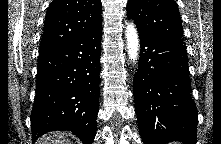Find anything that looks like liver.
Instances as JSON below:
<instances>
[{
  "label": "liver",
  "instance_id": "1",
  "mask_svg": "<svg viewBox=\"0 0 221 144\" xmlns=\"http://www.w3.org/2000/svg\"><path fill=\"white\" fill-rule=\"evenodd\" d=\"M71 136L67 132H54L53 134L44 135L37 144H70L68 137Z\"/></svg>",
  "mask_w": 221,
  "mask_h": 144
}]
</instances>
